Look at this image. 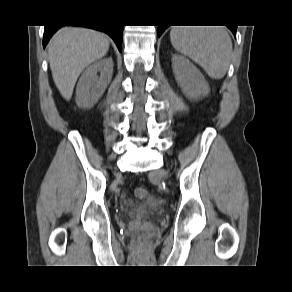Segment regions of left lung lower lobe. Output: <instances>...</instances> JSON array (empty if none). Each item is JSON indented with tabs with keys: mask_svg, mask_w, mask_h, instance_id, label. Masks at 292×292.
Instances as JSON below:
<instances>
[{
	"mask_svg": "<svg viewBox=\"0 0 292 292\" xmlns=\"http://www.w3.org/2000/svg\"><path fill=\"white\" fill-rule=\"evenodd\" d=\"M166 28H167V26H158V36H160L164 32V30ZM229 28L231 29V31L233 32V34L236 36L237 26H232V27H229Z\"/></svg>",
	"mask_w": 292,
	"mask_h": 292,
	"instance_id": "left-lung-lower-lobe-1",
	"label": "left lung lower lobe"
}]
</instances>
